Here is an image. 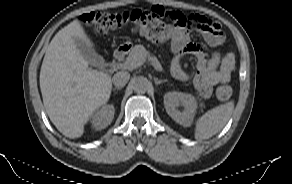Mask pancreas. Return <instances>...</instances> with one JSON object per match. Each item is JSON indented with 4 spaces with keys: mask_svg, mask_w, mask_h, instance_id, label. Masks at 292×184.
<instances>
[{
    "mask_svg": "<svg viewBox=\"0 0 292 184\" xmlns=\"http://www.w3.org/2000/svg\"><path fill=\"white\" fill-rule=\"evenodd\" d=\"M148 55L149 53L143 45H136L130 51L126 61L138 63L140 61H143ZM200 106L203 107V103H200Z\"/></svg>",
    "mask_w": 292,
    "mask_h": 184,
    "instance_id": "1",
    "label": "pancreas"
}]
</instances>
